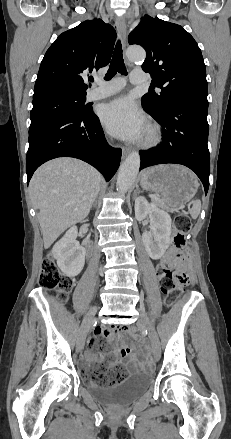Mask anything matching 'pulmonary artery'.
Instances as JSON below:
<instances>
[{
	"instance_id": "pulmonary-artery-1",
	"label": "pulmonary artery",
	"mask_w": 231,
	"mask_h": 439,
	"mask_svg": "<svg viewBox=\"0 0 231 439\" xmlns=\"http://www.w3.org/2000/svg\"><path fill=\"white\" fill-rule=\"evenodd\" d=\"M148 81L147 75L144 71L140 69H135L130 75V82L134 85H145ZM97 87L91 89L87 93V99L98 100L105 98L111 94L120 91L126 84L124 78H115L107 83L97 82Z\"/></svg>"
}]
</instances>
